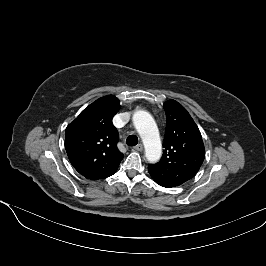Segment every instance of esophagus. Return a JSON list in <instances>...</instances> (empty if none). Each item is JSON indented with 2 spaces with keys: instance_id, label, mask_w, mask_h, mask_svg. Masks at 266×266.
<instances>
[{
  "instance_id": "1",
  "label": "esophagus",
  "mask_w": 266,
  "mask_h": 266,
  "mask_svg": "<svg viewBox=\"0 0 266 266\" xmlns=\"http://www.w3.org/2000/svg\"><path fill=\"white\" fill-rule=\"evenodd\" d=\"M134 149L136 150V151H143V145L142 144H138V145H136L135 147H134Z\"/></svg>"
}]
</instances>
